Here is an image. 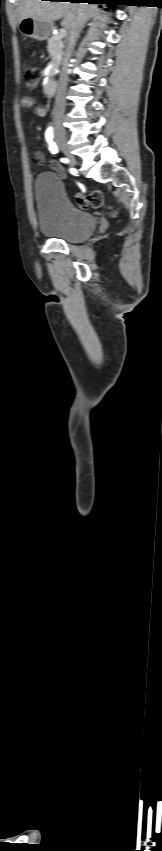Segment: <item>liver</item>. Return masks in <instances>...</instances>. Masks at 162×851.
I'll return each instance as SVG.
<instances>
[{"label": "liver", "instance_id": "1", "mask_svg": "<svg viewBox=\"0 0 162 851\" xmlns=\"http://www.w3.org/2000/svg\"><path fill=\"white\" fill-rule=\"evenodd\" d=\"M80 11L86 12L87 19L98 13L96 6L87 3L21 0L18 7V17L19 22L24 18L31 17L49 23L63 18L61 25L71 31L77 24Z\"/></svg>", "mask_w": 162, "mask_h": 851}]
</instances>
